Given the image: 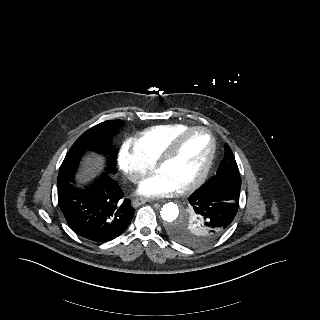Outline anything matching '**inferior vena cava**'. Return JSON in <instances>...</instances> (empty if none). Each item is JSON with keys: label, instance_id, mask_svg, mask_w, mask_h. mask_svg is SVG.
Wrapping results in <instances>:
<instances>
[{"label": "inferior vena cava", "instance_id": "obj_1", "mask_svg": "<svg viewBox=\"0 0 320 320\" xmlns=\"http://www.w3.org/2000/svg\"><path fill=\"white\" fill-rule=\"evenodd\" d=\"M139 178V176L138 175H135V179H138Z\"/></svg>", "mask_w": 320, "mask_h": 320}]
</instances>
